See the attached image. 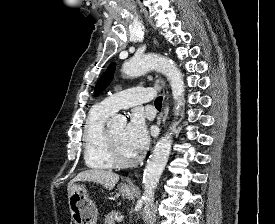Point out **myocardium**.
<instances>
[{
	"mask_svg": "<svg viewBox=\"0 0 275 224\" xmlns=\"http://www.w3.org/2000/svg\"><path fill=\"white\" fill-rule=\"evenodd\" d=\"M104 145L106 151L108 153L109 159L114 166L117 167H132L136 165L139 161V156L135 155L132 158H123L117 151L116 146L114 145L109 129H105L104 131Z\"/></svg>",
	"mask_w": 275,
	"mask_h": 224,
	"instance_id": "1",
	"label": "myocardium"
}]
</instances>
